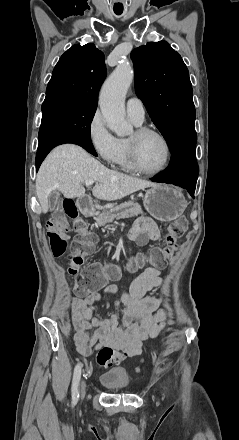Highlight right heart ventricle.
I'll return each mask as SVG.
<instances>
[{
	"label": "right heart ventricle",
	"mask_w": 239,
	"mask_h": 440,
	"mask_svg": "<svg viewBox=\"0 0 239 440\" xmlns=\"http://www.w3.org/2000/svg\"><path fill=\"white\" fill-rule=\"evenodd\" d=\"M121 144H122V151H121V155L119 157V160L117 162V165L122 170L127 171V172H131V171H133V168L131 166L130 159H129L127 140L122 139Z\"/></svg>",
	"instance_id": "obj_1"
}]
</instances>
